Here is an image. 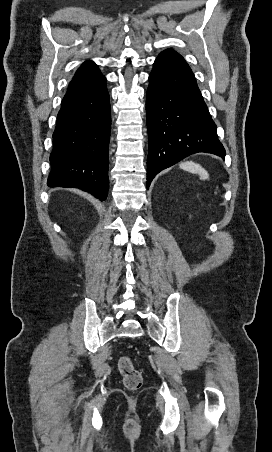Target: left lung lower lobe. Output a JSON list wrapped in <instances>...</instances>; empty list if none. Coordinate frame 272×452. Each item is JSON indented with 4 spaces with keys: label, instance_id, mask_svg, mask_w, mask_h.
Segmentation results:
<instances>
[{
    "label": "left lung lower lobe",
    "instance_id": "left-lung-lower-lobe-1",
    "mask_svg": "<svg viewBox=\"0 0 272 452\" xmlns=\"http://www.w3.org/2000/svg\"><path fill=\"white\" fill-rule=\"evenodd\" d=\"M146 115L149 154L147 188L160 171L198 152L225 157L217 127L181 55L165 50L149 76Z\"/></svg>",
    "mask_w": 272,
    "mask_h": 452
}]
</instances>
